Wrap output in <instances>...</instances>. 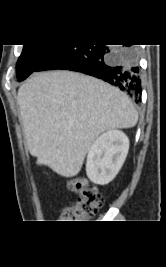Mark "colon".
Listing matches in <instances>:
<instances>
[{"mask_svg":"<svg viewBox=\"0 0 166 267\" xmlns=\"http://www.w3.org/2000/svg\"><path fill=\"white\" fill-rule=\"evenodd\" d=\"M71 186L78 194V198L73 203L61 208L59 222H82L94 217L97 210L104 204V196L86 180H76L72 182Z\"/></svg>","mask_w":166,"mask_h":267,"instance_id":"5ec220e1","label":"colon"}]
</instances>
